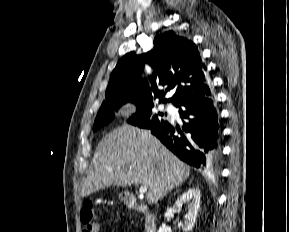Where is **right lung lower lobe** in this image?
Masks as SVG:
<instances>
[{
	"label": "right lung lower lobe",
	"mask_w": 289,
	"mask_h": 232,
	"mask_svg": "<svg viewBox=\"0 0 289 232\" xmlns=\"http://www.w3.org/2000/svg\"><path fill=\"white\" fill-rule=\"evenodd\" d=\"M177 106L185 119L183 132L165 121L151 128V133L191 166H218L221 159V128L213 95L189 99Z\"/></svg>",
	"instance_id": "right-lung-lower-lobe-1"
}]
</instances>
